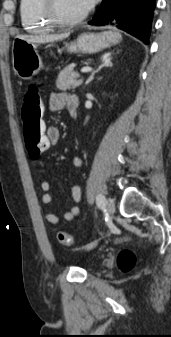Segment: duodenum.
I'll list each match as a JSON object with an SVG mask.
<instances>
[{
  "instance_id": "obj_1",
  "label": "duodenum",
  "mask_w": 171,
  "mask_h": 337,
  "mask_svg": "<svg viewBox=\"0 0 171 337\" xmlns=\"http://www.w3.org/2000/svg\"><path fill=\"white\" fill-rule=\"evenodd\" d=\"M68 111H69L71 116L75 117L77 115V111H78V104L72 103L69 106Z\"/></svg>"
}]
</instances>
